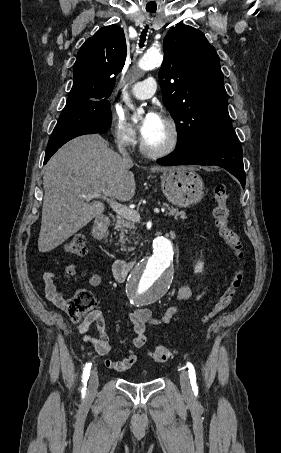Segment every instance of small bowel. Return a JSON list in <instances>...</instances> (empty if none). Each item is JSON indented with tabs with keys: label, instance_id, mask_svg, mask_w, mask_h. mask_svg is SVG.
<instances>
[{
	"label": "small bowel",
	"instance_id": "1",
	"mask_svg": "<svg viewBox=\"0 0 281 453\" xmlns=\"http://www.w3.org/2000/svg\"><path fill=\"white\" fill-rule=\"evenodd\" d=\"M73 268H67L65 275H73ZM55 274L52 271H46L42 277L43 289L45 296L48 300L52 301L59 309L67 310L69 308V300L63 296L58 290L56 281L54 280ZM88 280L91 286H100L102 278L99 273H90ZM193 298L192 291L189 287L184 286L181 288L177 295L178 302L189 301ZM200 296H196V299ZM177 308L175 306L169 307L161 315L153 317L150 312L145 308H138L130 313V319L133 324L134 339L132 348L128 350L127 354L122 359H108L106 366L109 370L119 371L127 370L133 366L137 360L136 350L141 349L145 342V328L146 326L160 327L166 325L171 318L176 314ZM93 321L96 322L100 332L98 336L87 335V341L97 351L99 357H106L110 350L111 344L109 336L105 331V316L102 310L95 309L91 315L86 319L85 324L79 326L81 331H84L88 324Z\"/></svg>",
	"mask_w": 281,
	"mask_h": 453
}]
</instances>
